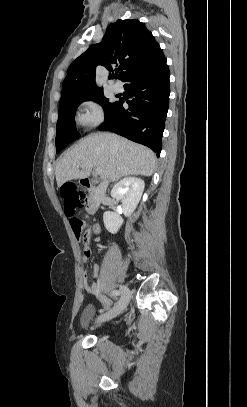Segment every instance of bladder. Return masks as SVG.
<instances>
[{"label":"bladder","instance_id":"31cf9c89","mask_svg":"<svg viewBox=\"0 0 247 407\" xmlns=\"http://www.w3.org/2000/svg\"><path fill=\"white\" fill-rule=\"evenodd\" d=\"M95 313L96 310L93 306H87L82 312L81 316L82 324L87 328H90L93 321L95 320Z\"/></svg>","mask_w":247,"mask_h":407}]
</instances>
